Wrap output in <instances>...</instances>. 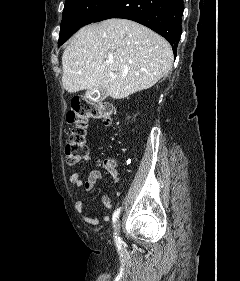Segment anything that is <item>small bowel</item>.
I'll list each match as a JSON object with an SVG mask.
<instances>
[{
    "mask_svg": "<svg viewBox=\"0 0 240 281\" xmlns=\"http://www.w3.org/2000/svg\"><path fill=\"white\" fill-rule=\"evenodd\" d=\"M93 157L91 154H88L85 158L84 161L86 162H90L92 161ZM102 167L103 169L109 174L111 175V177L113 178V180L116 182L119 179V173L117 171V163L116 160L112 157H108L106 158L103 162H102ZM102 179V173L100 170L94 169L91 170L88 173V176L85 180L82 179L81 174L79 172H74L70 175V182L75 185L78 188H84L86 191H92L95 187V185ZM101 201L103 203V205L107 208V209H112L113 208V202L110 198L109 195L105 194L102 196ZM75 208L77 210V212L82 216L83 220L90 224V225H97L99 223V220L95 217H90L85 215L84 213V208H85V204L83 201H77L75 203ZM104 221H108L109 220V216L108 215H104L103 217Z\"/></svg>",
    "mask_w": 240,
    "mask_h": 281,
    "instance_id": "small-bowel-1",
    "label": "small bowel"
}]
</instances>
